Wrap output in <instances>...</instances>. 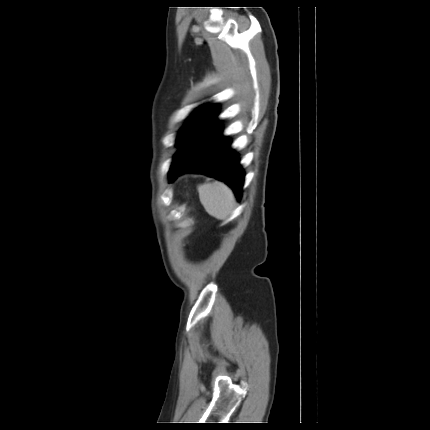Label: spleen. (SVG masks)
<instances>
[{"label":"spleen","mask_w":430,"mask_h":430,"mask_svg":"<svg viewBox=\"0 0 430 430\" xmlns=\"http://www.w3.org/2000/svg\"><path fill=\"white\" fill-rule=\"evenodd\" d=\"M197 189L202 205L211 216L222 219L234 211V197L223 184H205Z\"/></svg>","instance_id":"spleen-1"}]
</instances>
